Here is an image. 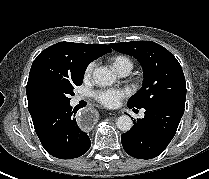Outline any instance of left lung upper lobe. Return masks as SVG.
I'll list each match as a JSON object with an SVG mask.
<instances>
[{
    "label": "left lung upper lobe",
    "instance_id": "left-lung-upper-lobe-1",
    "mask_svg": "<svg viewBox=\"0 0 209 179\" xmlns=\"http://www.w3.org/2000/svg\"><path fill=\"white\" fill-rule=\"evenodd\" d=\"M110 46L138 59L144 70L143 87L129 99L128 105L140 109L162 103H185V77L179 62L167 49L152 41Z\"/></svg>",
    "mask_w": 209,
    "mask_h": 179
}]
</instances>
